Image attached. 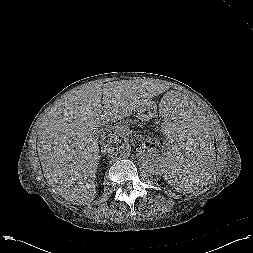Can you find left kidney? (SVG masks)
Instances as JSON below:
<instances>
[{"label":"left kidney","instance_id":"obj_1","mask_svg":"<svg viewBox=\"0 0 253 253\" xmlns=\"http://www.w3.org/2000/svg\"><path fill=\"white\" fill-rule=\"evenodd\" d=\"M183 188H188V187L184 186L183 184H180L179 187H178V190H181Z\"/></svg>","mask_w":253,"mask_h":253}]
</instances>
